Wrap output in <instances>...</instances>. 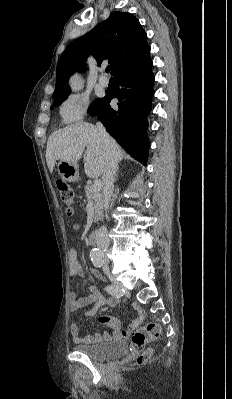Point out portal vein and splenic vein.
Segmentation results:
<instances>
[{
  "instance_id": "obj_1",
  "label": "portal vein and splenic vein",
  "mask_w": 232,
  "mask_h": 399,
  "mask_svg": "<svg viewBox=\"0 0 232 399\" xmlns=\"http://www.w3.org/2000/svg\"><path fill=\"white\" fill-rule=\"evenodd\" d=\"M93 190H95V192H100V190H101V180H94Z\"/></svg>"
}]
</instances>
